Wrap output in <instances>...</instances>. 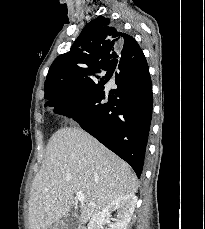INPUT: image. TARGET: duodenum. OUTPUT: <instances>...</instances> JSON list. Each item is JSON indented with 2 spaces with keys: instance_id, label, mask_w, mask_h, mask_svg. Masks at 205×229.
Wrapping results in <instances>:
<instances>
[{
  "instance_id": "1",
  "label": "duodenum",
  "mask_w": 205,
  "mask_h": 229,
  "mask_svg": "<svg viewBox=\"0 0 205 229\" xmlns=\"http://www.w3.org/2000/svg\"><path fill=\"white\" fill-rule=\"evenodd\" d=\"M76 229H86L85 227H79V228H76Z\"/></svg>"
}]
</instances>
